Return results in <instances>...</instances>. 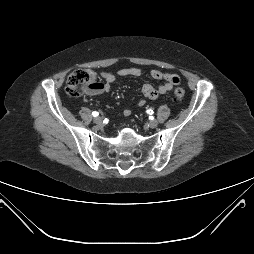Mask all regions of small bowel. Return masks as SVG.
I'll use <instances>...</instances> for the list:
<instances>
[{"mask_svg": "<svg viewBox=\"0 0 254 254\" xmlns=\"http://www.w3.org/2000/svg\"><path fill=\"white\" fill-rule=\"evenodd\" d=\"M141 69L136 67L121 68L116 72H102L101 77L103 83H99L97 88L91 89L88 92L90 94H102L109 92L111 90L112 84L116 81L118 77H138L141 75ZM150 76L155 80H162L163 84L158 87H154L151 84H144L142 86V94L148 99H157L159 96L169 92L174 86L180 83V77L177 74L165 73L160 70L153 69L150 71ZM138 106L142 107L145 105V100L140 99L138 101ZM131 114L130 109L124 110V115L129 116Z\"/></svg>", "mask_w": 254, "mask_h": 254, "instance_id": "1", "label": "small bowel"}]
</instances>
